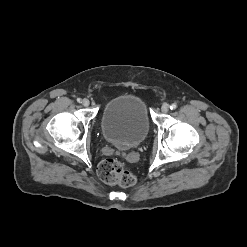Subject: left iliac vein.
<instances>
[{"label":"left iliac vein","mask_w":247,"mask_h":247,"mask_svg":"<svg viewBox=\"0 0 247 247\" xmlns=\"http://www.w3.org/2000/svg\"><path fill=\"white\" fill-rule=\"evenodd\" d=\"M161 111L163 113H167L169 111V105L168 104H163L161 107Z\"/></svg>","instance_id":"1"}]
</instances>
